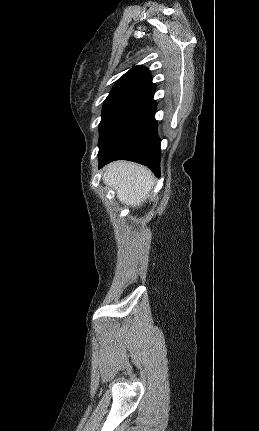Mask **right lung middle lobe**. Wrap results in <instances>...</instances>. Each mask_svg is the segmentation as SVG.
Segmentation results:
<instances>
[{"label": "right lung middle lobe", "instance_id": "obj_1", "mask_svg": "<svg viewBox=\"0 0 259 431\" xmlns=\"http://www.w3.org/2000/svg\"><path fill=\"white\" fill-rule=\"evenodd\" d=\"M152 94L150 90L137 85H129L120 91H111L103 104L99 124V145L135 105Z\"/></svg>", "mask_w": 259, "mask_h": 431}]
</instances>
